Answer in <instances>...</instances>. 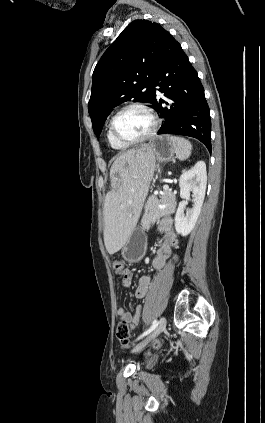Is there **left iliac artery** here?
I'll return each mask as SVG.
<instances>
[{
	"label": "left iliac artery",
	"instance_id": "left-iliac-artery-1",
	"mask_svg": "<svg viewBox=\"0 0 265 423\" xmlns=\"http://www.w3.org/2000/svg\"><path fill=\"white\" fill-rule=\"evenodd\" d=\"M158 325L157 320H154L152 325L150 326V328L148 330H146L143 334H141L137 340H139L140 338H143L144 336L148 335L150 332H152Z\"/></svg>",
	"mask_w": 265,
	"mask_h": 423
}]
</instances>
